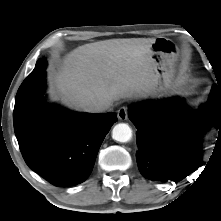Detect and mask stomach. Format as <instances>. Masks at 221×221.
<instances>
[{
	"mask_svg": "<svg viewBox=\"0 0 221 221\" xmlns=\"http://www.w3.org/2000/svg\"><path fill=\"white\" fill-rule=\"evenodd\" d=\"M179 49L170 39L159 37L150 48V60L156 74L154 96L167 97L179 94L180 86L175 77Z\"/></svg>",
	"mask_w": 221,
	"mask_h": 221,
	"instance_id": "0dacf381",
	"label": "stomach"
}]
</instances>
